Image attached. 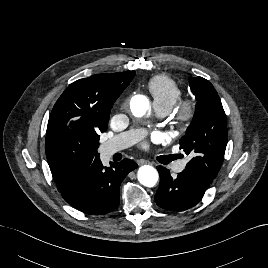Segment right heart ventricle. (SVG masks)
<instances>
[{
    "instance_id": "e07e8e85",
    "label": "right heart ventricle",
    "mask_w": 268,
    "mask_h": 268,
    "mask_svg": "<svg viewBox=\"0 0 268 268\" xmlns=\"http://www.w3.org/2000/svg\"><path fill=\"white\" fill-rule=\"evenodd\" d=\"M147 88L152 96L154 106L168 112L183 96L181 87L175 81L163 75L151 78Z\"/></svg>"
}]
</instances>
